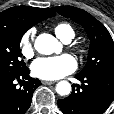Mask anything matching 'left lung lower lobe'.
<instances>
[{
	"mask_svg": "<svg viewBox=\"0 0 114 114\" xmlns=\"http://www.w3.org/2000/svg\"><path fill=\"white\" fill-rule=\"evenodd\" d=\"M67 98L58 100L64 114H103L114 99V74H78Z\"/></svg>",
	"mask_w": 114,
	"mask_h": 114,
	"instance_id": "obj_1",
	"label": "left lung lower lobe"
}]
</instances>
